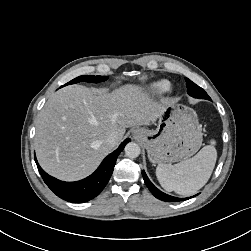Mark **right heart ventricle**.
<instances>
[{"instance_id": "1", "label": "right heart ventricle", "mask_w": 251, "mask_h": 251, "mask_svg": "<svg viewBox=\"0 0 251 251\" xmlns=\"http://www.w3.org/2000/svg\"><path fill=\"white\" fill-rule=\"evenodd\" d=\"M150 88L156 94H163L170 90L171 84L168 80H159L154 82Z\"/></svg>"}]
</instances>
